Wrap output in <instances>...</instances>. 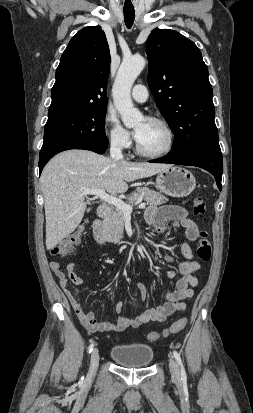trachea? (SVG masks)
I'll return each instance as SVG.
<instances>
[{"label": "trachea", "mask_w": 253, "mask_h": 413, "mask_svg": "<svg viewBox=\"0 0 253 413\" xmlns=\"http://www.w3.org/2000/svg\"><path fill=\"white\" fill-rule=\"evenodd\" d=\"M135 19V11L134 10H124V21L127 28H131Z\"/></svg>", "instance_id": "obj_1"}]
</instances>
